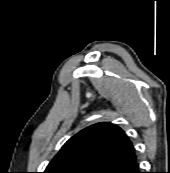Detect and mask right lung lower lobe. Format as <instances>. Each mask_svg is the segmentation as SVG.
Listing matches in <instances>:
<instances>
[{
	"instance_id": "1",
	"label": "right lung lower lobe",
	"mask_w": 170,
	"mask_h": 173,
	"mask_svg": "<svg viewBox=\"0 0 170 173\" xmlns=\"http://www.w3.org/2000/svg\"><path fill=\"white\" fill-rule=\"evenodd\" d=\"M103 173H141L139 170V164L137 161L136 156L120 162L107 170Z\"/></svg>"
}]
</instances>
